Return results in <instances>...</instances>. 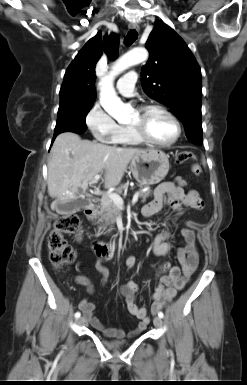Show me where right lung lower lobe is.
I'll return each instance as SVG.
<instances>
[{
    "mask_svg": "<svg viewBox=\"0 0 247 385\" xmlns=\"http://www.w3.org/2000/svg\"><path fill=\"white\" fill-rule=\"evenodd\" d=\"M81 133H83V132H77V134H81ZM55 138H56V136L53 137V141H54Z\"/></svg>",
    "mask_w": 247,
    "mask_h": 385,
    "instance_id": "right-lung-lower-lobe-1",
    "label": "right lung lower lobe"
}]
</instances>
